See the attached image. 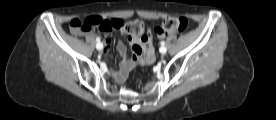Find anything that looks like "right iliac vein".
<instances>
[{"mask_svg": "<svg viewBox=\"0 0 276 120\" xmlns=\"http://www.w3.org/2000/svg\"><path fill=\"white\" fill-rule=\"evenodd\" d=\"M96 48L98 50H101L103 48V45L101 43H97Z\"/></svg>", "mask_w": 276, "mask_h": 120, "instance_id": "right-iliac-vein-1", "label": "right iliac vein"}]
</instances>
